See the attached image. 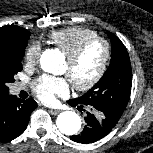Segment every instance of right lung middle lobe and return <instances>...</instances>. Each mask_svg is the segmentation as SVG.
<instances>
[{
	"label": "right lung middle lobe",
	"mask_w": 153,
	"mask_h": 153,
	"mask_svg": "<svg viewBox=\"0 0 153 153\" xmlns=\"http://www.w3.org/2000/svg\"><path fill=\"white\" fill-rule=\"evenodd\" d=\"M27 42L0 45V94L9 92L7 85L13 83L14 75L22 70L21 61Z\"/></svg>",
	"instance_id": "1"
}]
</instances>
